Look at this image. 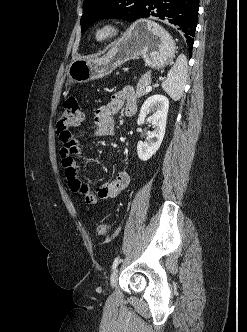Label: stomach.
I'll use <instances>...</instances> for the list:
<instances>
[{
	"label": "stomach",
	"mask_w": 247,
	"mask_h": 332,
	"mask_svg": "<svg viewBox=\"0 0 247 332\" xmlns=\"http://www.w3.org/2000/svg\"><path fill=\"white\" fill-rule=\"evenodd\" d=\"M175 50L172 37L160 25L141 19L104 56L72 60L67 69L66 86L103 78L123 63L139 57L147 66L159 70L173 61Z\"/></svg>",
	"instance_id": "obj_1"
}]
</instances>
